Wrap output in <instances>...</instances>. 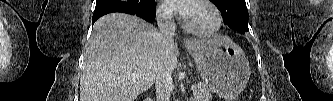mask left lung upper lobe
<instances>
[{
  "mask_svg": "<svg viewBox=\"0 0 333 101\" xmlns=\"http://www.w3.org/2000/svg\"><path fill=\"white\" fill-rule=\"evenodd\" d=\"M222 14L224 22L242 33L248 28V10L244 0H210Z\"/></svg>",
  "mask_w": 333,
  "mask_h": 101,
  "instance_id": "left-lung-upper-lobe-1",
  "label": "left lung upper lobe"
}]
</instances>
